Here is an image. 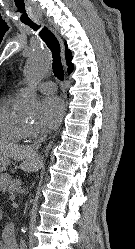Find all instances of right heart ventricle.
<instances>
[{
    "instance_id": "e07e8e85",
    "label": "right heart ventricle",
    "mask_w": 135,
    "mask_h": 249,
    "mask_svg": "<svg viewBox=\"0 0 135 249\" xmlns=\"http://www.w3.org/2000/svg\"><path fill=\"white\" fill-rule=\"evenodd\" d=\"M16 96H9L0 104V141L17 143L27 137V126L15 114Z\"/></svg>"
}]
</instances>
